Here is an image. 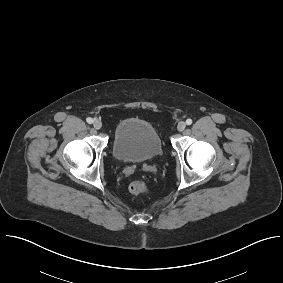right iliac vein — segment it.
Here are the masks:
<instances>
[{
	"label": "right iliac vein",
	"instance_id": "63e3f726",
	"mask_svg": "<svg viewBox=\"0 0 283 283\" xmlns=\"http://www.w3.org/2000/svg\"><path fill=\"white\" fill-rule=\"evenodd\" d=\"M93 126H94L95 129L99 130V129H101V127H102V123H101L100 120H95V121L93 122Z\"/></svg>",
	"mask_w": 283,
	"mask_h": 283
}]
</instances>
